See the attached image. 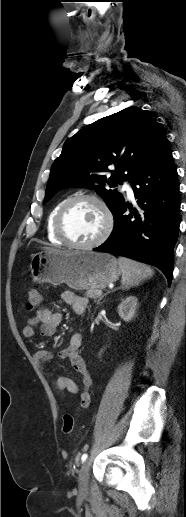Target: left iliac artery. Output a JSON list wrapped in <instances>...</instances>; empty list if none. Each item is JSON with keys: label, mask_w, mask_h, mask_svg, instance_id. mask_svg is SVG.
I'll list each match as a JSON object with an SVG mask.
<instances>
[{"label": "left iliac artery", "mask_w": 186, "mask_h": 517, "mask_svg": "<svg viewBox=\"0 0 186 517\" xmlns=\"http://www.w3.org/2000/svg\"><path fill=\"white\" fill-rule=\"evenodd\" d=\"M88 455L85 453L82 455L81 460L84 462L87 459Z\"/></svg>", "instance_id": "obj_1"}]
</instances>
